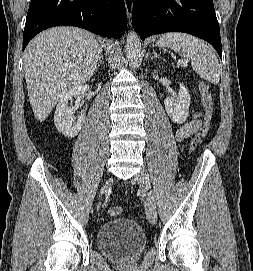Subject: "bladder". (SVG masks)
Masks as SVG:
<instances>
[{"mask_svg": "<svg viewBox=\"0 0 253 271\" xmlns=\"http://www.w3.org/2000/svg\"><path fill=\"white\" fill-rule=\"evenodd\" d=\"M95 242L98 250L116 261L138 258L147 247V237L134 220L118 218L103 223L97 230Z\"/></svg>", "mask_w": 253, "mask_h": 271, "instance_id": "31cf9c89", "label": "bladder"}]
</instances>
